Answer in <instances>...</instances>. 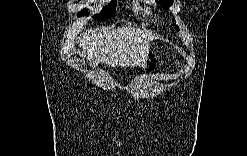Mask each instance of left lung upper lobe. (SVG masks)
Returning <instances> with one entry per match:
<instances>
[{
    "label": "left lung upper lobe",
    "instance_id": "1",
    "mask_svg": "<svg viewBox=\"0 0 247 156\" xmlns=\"http://www.w3.org/2000/svg\"><path fill=\"white\" fill-rule=\"evenodd\" d=\"M160 1L167 7H170L173 4V0H160Z\"/></svg>",
    "mask_w": 247,
    "mask_h": 156
}]
</instances>
